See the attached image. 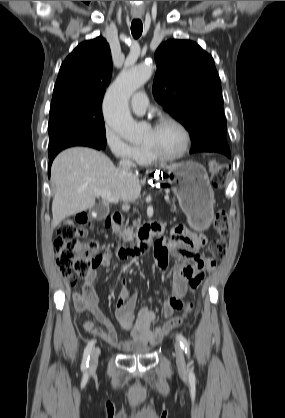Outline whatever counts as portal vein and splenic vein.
<instances>
[{
	"label": "portal vein and splenic vein",
	"instance_id": "portal-vein-and-splenic-vein-1",
	"mask_svg": "<svg viewBox=\"0 0 285 418\" xmlns=\"http://www.w3.org/2000/svg\"><path fill=\"white\" fill-rule=\"evenodd\" d=\"M95 193L98 196H101L102 199H104L105 201L109 202V203H118L119 202V198L114 196L110 191H106V190H95ZM165 200L168 201L169 197L166 196Z\"/></svg>",
	"mask_w": 285,
	"mask_h": 418
}]
</instances>
